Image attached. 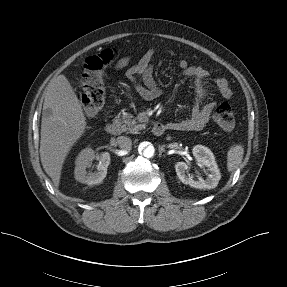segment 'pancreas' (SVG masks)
Here are the masks:
<instances>
[{
    "label": "pancreas",
    "mask_w": 287,
    "mask_h": 287,
    "mask_svg": "<svg viewBox=\"0 0 287 287\" xmlns=\"http://www.w3.org/2000/svg\"><path fill=\"white\" fill-rule=\"evenodd\" d=\"M115 123L121 126L122 132L138 133L139 130L145 128V124H137V121L131 114H123L115 118Z\"/></svg>",
    "instance_id": "cf45deb5"
}]
</instances>
